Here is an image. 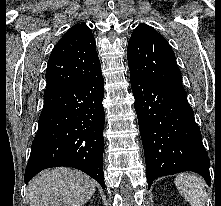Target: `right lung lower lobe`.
I'll use <instances>...</instances> for the list:
<instances>
[{
    "label": "right lung lower lobe",
    "mask_w": 221,
    "mask_h": 206,
    "mask_svg": "<svg viewBox=\"0 0 221 206\" xmlns=\"http://www.w3.org/2000/svg\"><path fill=\"white\" fill-rule=\"evenodd\" d=\"M104 80L101 68L44 96L38 131L25 170V183L43 169L67 166L94 178L105 189Z\"/></svg>",
    "instance_id": "obj_1"
}]
</instances>
